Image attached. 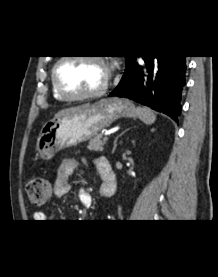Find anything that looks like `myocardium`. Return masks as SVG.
<instances>
[{"mask_svg":"<svg viewBox=\"0 0 218 277\" xmlns=\"http://www.w3.org/2000/svg\"><path fill=\"white\" fill-rule=\"evenodd\" d=\"M68 59L92 60V61H96V62L100 63L101 65H103L106 68V71H107L105 81L98 89H96L94 91H90V92L79 94V95H72V94L67 93L60 84L59 77H58V67L63 61L68 60ZM51 78H52L53 86H54L56 92L64 100L78 101V100L95 98V97L103 95L109 86L110 72H109L108 66L106 65L104 59L100 56H97V55H80L78 57L62 56L53 65L52 71H51Z\"/></svg>","mask_w":218,"mask_h":277,"instance_id":"f54148a6","label":"myocardium"}]
</instances>
